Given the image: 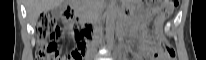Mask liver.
I'll list each match as a JSON object with an SVG mask.
<instances>
[{"label": "liver", "mask_w": 206, "mask_h": 60, "mask_svg": "<svg viewBox=\"0 0 206 60\" xmlns=\"http://www.w3.org/2000/svg\"><path fill=\"white\" fill-rule=\"evenodd\" d=\"M63 2L64 0H26V8L31 25H36V21L42 12L60 7Z\"/></svg>", "instance_id": "liver-1"}]
</instances>
